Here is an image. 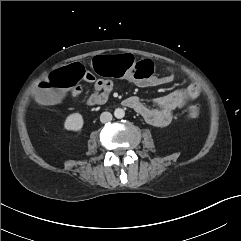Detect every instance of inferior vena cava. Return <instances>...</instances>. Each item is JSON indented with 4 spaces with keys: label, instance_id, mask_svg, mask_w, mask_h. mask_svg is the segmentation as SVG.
<instances>
[{
    "label": "inferior vena cava",
    "instance_id": "inferior-vena-cava-1",
    "mask_svg": "<svg viewBox=\"0 0 241 241\" xmlns=\"http://www.w3.org/2000/svg\"><path fill=\"white\" fill-rule=\"evenodd\" d=\"M111 120H112V114L110 112H103L100 115V121L102 123H107V122H110Z\"/></svg>",
    "mask_w": 241,
    "mask_h": 241
}]
</instances>
